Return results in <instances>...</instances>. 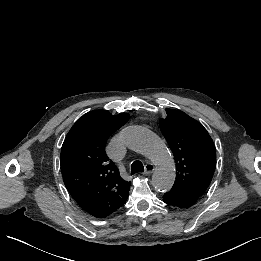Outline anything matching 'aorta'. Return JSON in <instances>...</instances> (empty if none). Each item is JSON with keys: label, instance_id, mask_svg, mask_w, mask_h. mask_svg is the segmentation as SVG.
Segmentation results:
<instances>
[{"label": "aorta", "instance_id": "762f6f07", "mask_svg": "<svg viewBox=\"0 0 261 261\" xmlns=\"http://www.w3.org/2000/svg\"><path fill=\"white\" fill-rule=\"evenodd\" d=\"M123 143L131 150L148 157L154 165L153 186L160 192L169 191L175 181L174 159L164 141L150 130L139 126H127L120 132Z\"/></svg>", "mask_w": 261, "mask_h": 261}]
</instances>
